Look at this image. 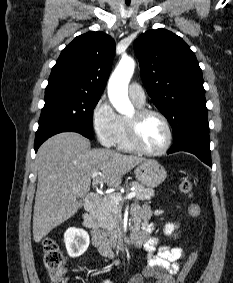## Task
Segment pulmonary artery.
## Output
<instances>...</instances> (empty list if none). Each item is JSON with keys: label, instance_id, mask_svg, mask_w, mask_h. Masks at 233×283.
Returning a JSON list of instances; mask_svg holds the SVG:
<instances>
[{"label": "pulmonary artery", "instance_id": "obj_1", "mask_svg": "<svg viewBox=\"0 0 233 283\" xmlns=\"http://www.w3.org/2000/svg\"><path fill=\"white\" fill-rule=\"evenodd\" d=\"M129 96L131 98V100L139 106H143L146 102V96L144 93V90L142 89V87L140 85H138L137 83H132L129 86Z\"/></svg>", "mask_w": 233, "mask_h": 283}]
</instances>
